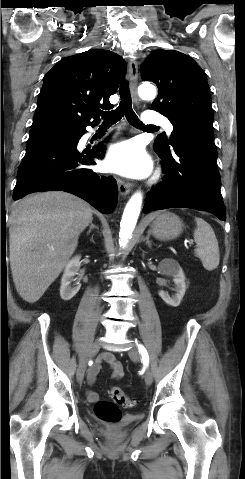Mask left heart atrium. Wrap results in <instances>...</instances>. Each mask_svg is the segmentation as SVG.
I'll list each match as a JSON object with an SVG mask.
<instances>
[{
	"instance_id": "1",
	"label": "left heart atrium",
	"mask_w": 245,
	"mask_h": 479,
	"mask_svg": "<svg viewBox=\"0 0 245 479\" xmlns=\"http://www.w3.org/2000/svg\"><path fill=\"white\" fill-rule=\"evenodd\" d=\"M104 167L123 176L142 178L149 174L151 161L139 142L126 140L110 148Z\"/></svg>"
}]
</instances>
